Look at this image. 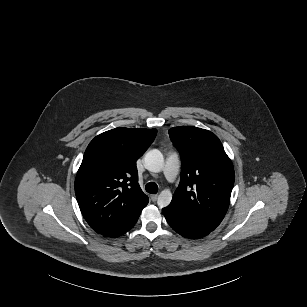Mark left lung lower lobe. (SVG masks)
Returning a JSON list of instances; mask_svg holds the SVG:
<instances>
[{
	"instance_id": "left-lung-lower-lobe-1",
	"label": "left lung lower lobe",
	"mask_w": 307,
	"mask_h": 307,
	"mask_svg": "<svg viewBox=\"0 0 307 307\" xmlns=\"http://www.w3.org/2000/svg\"><path fill=\"white\" fill-rule=\"evenodd\" d=\"M169 225L180 235L197 239L208 235L211 230L200 226L183 216L175 206L169 205L162 209Z\"/></svg>"
}]
</instances>
